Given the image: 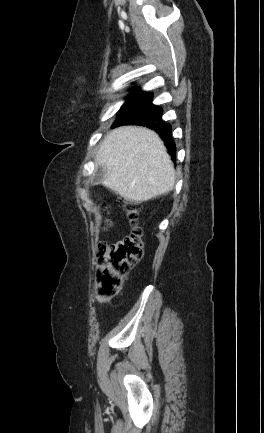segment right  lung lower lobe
<instances>
[{
    "label": "right lung lower lobe",
    "instance_id": "right-lung-lower-lobe-1",
    "mask_svg": "<svg viewBox=\"0 0 264 433\" xmlns=\"http://www.w3.org/2000/svg\"><path fill=\"white\" fill-rule=\"evenodd\" d=\"M152 94L139 93L138 110L129 117L116 120L113 126L141 125L155 130L166 142L172 155L176 147L171 136V125L162 121L163 109L152 104Z\"/></svg>",
    "mask_w": 264,
    "mask_h": 433
}]
</instances>
